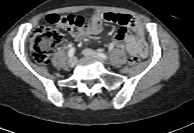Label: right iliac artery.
I'll use <instances>...</instances> for the list:
<instances>
[{"mask_svg":"<svg viewBox=\"0 0 194 133\" xmlns=\"http://www.w3.org/2000/svg\"><path fill=\"white\" fill-rule=\"evenodd\" d=\"M74 54H75V48H74V47H71V48L69 49V51H68V56H69L70 58H72V57L74 56Z\"/></svg>","mask_w":194,"mask_h":133,"instance_id":"1","label":"right iliac artery"}]
</instances>
